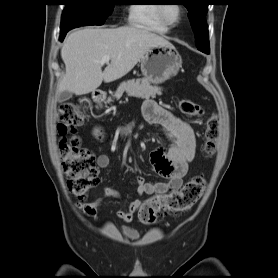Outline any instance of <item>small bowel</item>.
<instances>
[{
	"instance_id": "c3829d8e",
	"label": "small bowel",
	"mask_w": 278,
	"mask_h": 278,
	"mask_svg": "<svg viewBox=\"0 0 278 278\" xmlns=\"http://www.w3.org/2000/svg\"><path fill=\"white\" fill-rule=\"evenodd\" d=\"M141 116L147 123L160 126L170 144L166 148L158 147L150 154V162L154 171L166 180L149 182L139 176L137 177V193L152 196L178 191L183 184L184 176L187 174L189 163L195 156V133L189 123L151 99L144 102ZM130 131L131 126H127L123 133L127 135ZM109 164L110 159L107 155L98 156L97 165L99 168H107ZM119 197L120 194L117 190L105 187L101 197L90 202L80 203L79 207L87 215L94 216L102 200ZM142 204L139 199L132 201L126 210L118 211L117 216L122 221L129 223Z\"/></svg>"
}]
</instances>
